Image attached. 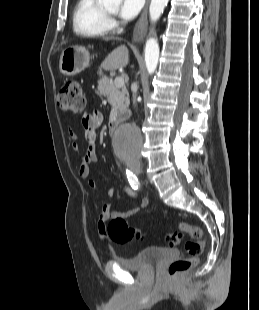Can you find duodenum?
Listing matches in <instances>:
<instances>
[{"label":"duodenum","instance_id":"duodenum-1","mask_svg":"<svg viewBox=\"0 0 259 310\" xmlns=\"http://www.w3.org/2000/svg\"><path fill=\"white\" fill-rule=\"evenodd\" d=\"M116 128H117V121L115 119H112L109 122V131H110L111 135H113L115 133Z\"/></svg>","mask_w":259,"mask_h":310}]
</instances>
